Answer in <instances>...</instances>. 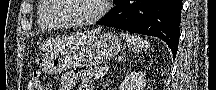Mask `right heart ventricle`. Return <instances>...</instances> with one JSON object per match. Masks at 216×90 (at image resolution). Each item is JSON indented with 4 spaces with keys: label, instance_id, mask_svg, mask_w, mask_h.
I'll use <instances>...</instances> for the list:
<instances>
[{
    "label": "right heart ventricle",
    "instance_id": "1",
    "mask_svg": "<svg viewBox=\"0 0 216 90\" xmlns=\"http://www.w3.org/2000/svg\"><path fill=\"white\" fill-rule=\"evenodd\" d=\"M53 7H57L55 2L51 0H41L40 6L36 7V10H41V14H52ZM39 14L38 16V26L40 29H58V25L50 21L48 18Z\"/></svg>",
    "mask_w": 216,
    "mask_h": 90
}]
</instances>
